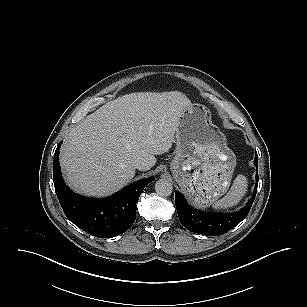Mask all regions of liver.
Returning <instances> with one entry per match:
<instances>
[{
    "label": "liver",
    "mask_w": 307,
    "mask_h": 307,
    "mask_svg": "<svg viewBox=\"0 0 307 307\" xmlns=\"http://www.w3.org/2000/svg\"><path fill=\"white\" fill-rule=\"evenodd\" d=\"M191 105L181 92H138L107 102L71 128L60 152L68 185L87 196H108L146 171L155 155L168 152L182 110Z\"/></svg>",
    "instance_id": "1"
}]
</instances>
